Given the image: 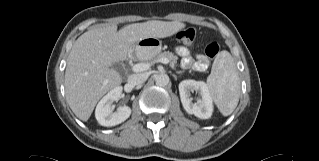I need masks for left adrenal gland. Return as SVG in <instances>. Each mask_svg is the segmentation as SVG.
<instances>
[{"label":"left adrenal gland","mask_w":319,"mask_h":161,"mask_svg":"<svg viewBox=\"0 0 319 161\" xmlns=\"http://www.w3.org/2000/svg\"><path fill=\"white\" fill-rule=\"evenodd\" d=\"M184 71H178L177 74H182Z\"/></svg>","instance_id":"left-adrenal-gland-1"}]
</instances>
